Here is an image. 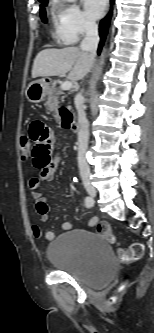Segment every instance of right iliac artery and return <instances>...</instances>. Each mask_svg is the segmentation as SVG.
I'll return each instance as SVG.
<instances>
[{
  "mask_svg": "<svg viewBox=\"0 0 154 333\" xmlns=\"http://www.w3.org/2000/svg\"><path fill=\"white\" fill-rule=\"evenodd\" d=\"M94 205V200L91 197L85 198V206L91 208Z\"/></svg>",
  "mask_w": 154,
  "mask_h": 333,
  "instance_id": "82829eb1",
  "label": "right iliac artery"
}]
</instances>
